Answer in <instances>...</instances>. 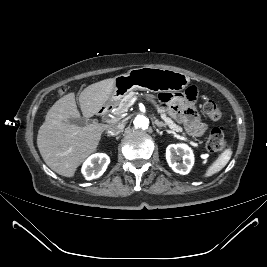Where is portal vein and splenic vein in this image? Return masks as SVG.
<instances>
[{"mask_svg": "<svg viewBox=\"0 0 267 267\" xmlns=\"http://www.w3.org/2000/svg\"><path fill=\"white\" fill-rule=\"evenodd\" d=\"M135 100H136V98H133V99L130 101V103H129V107H130L131 105L134 104Z\"/></svg>", "mask_w": 267, "mask_h": 267, "instance_id": "18ae733b", "label": "portal vein and splenic vein"}]
</instances>
